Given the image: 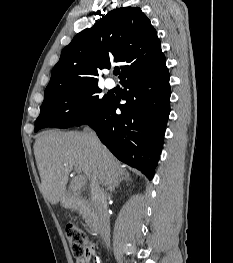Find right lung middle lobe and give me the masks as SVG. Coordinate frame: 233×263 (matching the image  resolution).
Returning <instances> with one entry per match:
<instances>
[{
	"instance_id": "dd1d6c3e",
	"label": "right lung middle lobe",
	"mask_w": 233,
	"mask_h": 263,
	"mask_svg": "<svg viewBox=\"0 0 233 263\" xmlns=\"http://www.w3.org/2000/svg\"><path fill=\"white\" fill-rule=\"evenodd\" d=\"M98 85L53 94L44 99L35 122V132L44 127L67 128L78 125L103 106L110 97L100 98Z\"/></svg>"
}]
</instances>
